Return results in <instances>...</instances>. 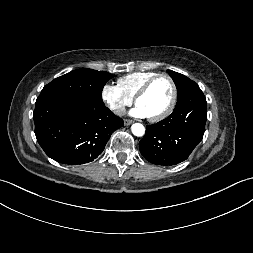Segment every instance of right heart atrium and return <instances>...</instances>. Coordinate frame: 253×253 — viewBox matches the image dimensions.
Wrapping results in <instances>:
<instances>
[{
    "instance_id": "obj_1",
    "label": "right heart atrium",
    "mask_w": 253,
    "mask_h": 253,
    "mask_svg": "<svg viewBox=\"0 0 253 253\" xmlns=\"http://www.w3.org/2000/svg\"><path fill=\"white\" fill-rule=\"evenodd\" d=\"M101 97L109 109L119 115L130 106L133 99L126 95L116 84L106 83L101 89Z\"/></svg>"
}]
</instances>
